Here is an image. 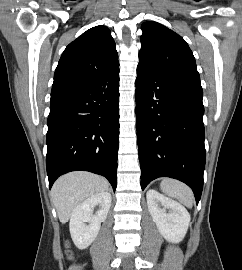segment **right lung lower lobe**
<instances>
[{
  "instance_id": "98d812e1",
  "label": "right lung lower lobe",
  "mask_w": 242,
  "mask_h": 270,
  "mask_svg": "<svg viewBox=\"0 0 242 270\" xmlns=\"http://www.w3.org/2000/svg\"><path fill=\"white\" fill-rule=\"evenodd\" d=\"M119 68L50 99L46 167L49 188L62 174L105 176L115 191L119 144Z\"/></svg>"
}]
</instances>
